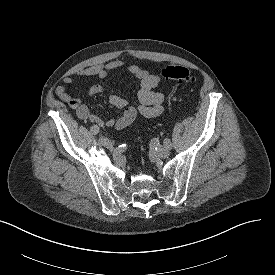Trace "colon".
Instances as JSON below:
<instances>
[{"label": "colon", "instance_id": "1", "mask_svg": "<svg viewBox=\"0 0 275 275\" xmlns=\"http://www.w3.org/2000/svg\"><path fill=\"white\" fill-rule=\"evenodd\" d=\"M162 77L167 81H177L184 84H192L196 76L191 69L182 65H169L162 70Z\"/></svg>", "mask_w": 275, "mask_h": 275}]
</instances>
